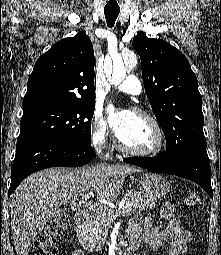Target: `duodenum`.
Masks as SVG:
<instances>
[{"mask_svg": "<svg viewBox=\"0 0 221 255\" xmlns=\"http://www.w3.org/2000/svg\"><path fill=\"white\" fill-rule=\"evenodd\" d=\"M73 222L80 229L84 240L88 241L92 234V227L88 216L84 213H76L73 218ZM140 244L141 241L139 238H130L128 245L118 252L117 255H134Z\"/></svg>", "mask_w": 221, "mask_h": 255, "instance_id": "duodenum-1", "label": "duodenum"}]
</instances>
